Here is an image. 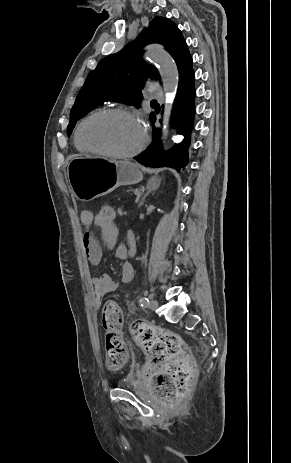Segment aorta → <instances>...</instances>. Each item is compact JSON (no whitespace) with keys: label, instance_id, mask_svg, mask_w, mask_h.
<instances>
[{"label":"aorta","instance_id":"aorta-1","mask_svg":"<svg viewBox=\"0 0 291 463\" xmlns=\"http://www.w3.org/2000/svg\"><path fill=\"white\" fill-rule=\"evenodd\" d=\"M146 57L157 63L166 95L163 117L164 130L162 133L164 142L169 130L172 102L178 88V70L170 55L165 52L151 49L146 52Z\"/></svg>","mask_w":291,"mask_h":463}]
</instances>
